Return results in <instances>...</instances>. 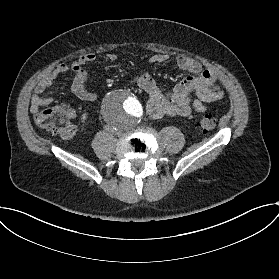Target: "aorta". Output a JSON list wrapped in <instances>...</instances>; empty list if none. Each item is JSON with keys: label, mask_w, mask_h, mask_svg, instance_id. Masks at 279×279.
<instances>
[{"label": "aorta", "mask_w": 279, "mask_h": 279, "mask_svg": "<svg viewBox=\"0 0 279 279\" xmlns=\"http://www.w3.org/2000/svg\"><path fill=\"white\" fill-rule=\"evenodd\" d=\"M102 111L105 120L115 131H123L137 125L143 116L139 99L128 90H115L105 98Z\"/></svg>", "instance_id": "aorta-1"}]
</instances>
